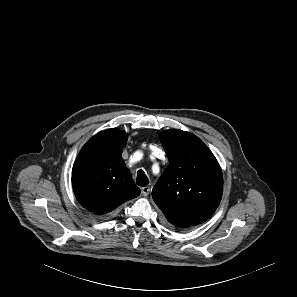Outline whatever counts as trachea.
<instances>
[{"label": "trachea", "instance_id": "1", "mask_svg": "<svg viewBox=\"0 0 297 297\" xmlns=\"http://www.w3.org/2000/svg\"><path fill=\"white\" fill-rule=\"evenodd\" d=\"M136 182L140 186H146L149 184L148 177L146 176V174L143 170H139L137 172Z\"/></svg>", "mask_w": 297, "mask_h": 297}]
</instances>
